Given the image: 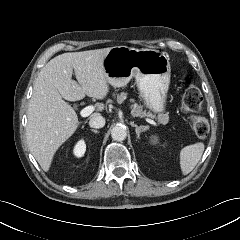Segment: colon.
Returning a JSON list of instances; mask_svg holds the SVG:
<instances>
[{
    "mask_svg": "<svg viewBox=\"0 0 240 240\" xmlns=\"http://www.w3.org/2000/svg\"><path fill=\"white\" fill-rule=\"evenodd\" d=\"M185 84L186 87L181 95V107L184 111L191 112L190 125L193 132L198 137H204L209 132V123L206 118L198 114L203 107L202 94L191 78H186Z\"/></svg>",
    "mask_w": 240,
    "mask_h": 240,
    "instance_id": "5ec220e1",
    "label": "colon"
}]
</instances>
